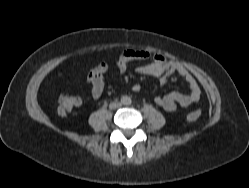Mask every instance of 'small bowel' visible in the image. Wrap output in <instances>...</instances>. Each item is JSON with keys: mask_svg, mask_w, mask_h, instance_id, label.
I'll return each mask as SVG.
<instances>
[{"mask_svg": "<svg viewBox=\"0 0 249 188\" xmlns=\"http://www.w3.org/2000/svg\"><path fill=\"white\" fill-rule=\"evenodd\" d=\"M132 61H146L147 63L138 66L136 71L141 75L157 78L162 85L175 81L177 77L183 78L188 85L187 94L171 92L155 98V103L164 110L173 112L179 106L188 107L200 99L201 90L195 77L182 64L170 61L158 53L130 49L120 55L117 61L119 71L125 72ZM108 70L109 65L101 62L89 71L87 82L91 88L92 99L97 100L102 96L105 89L104 76ZM133 89L137 90L138 87L134 86Z\"/></svg>", "mask_w": 249, "mask_h": 188, "instance_id": "1", "label": "small bowel"}]
</instances>
